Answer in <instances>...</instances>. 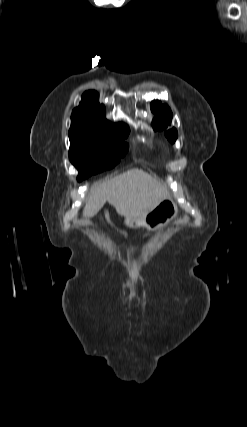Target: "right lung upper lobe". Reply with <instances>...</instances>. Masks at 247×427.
Segmentation results:
<instances>
[{
    "label": "right lung upper lobe",
    "mask_w": 247,
    "mask_h": 427,
    "mask_svg": "<svg viewBox=\"0 0 247 427\" xmlns=\"http://www.w3.org/2000/svg\"><path fill=\"white\" fill-rule=\"evenodd\" d=\"M71 123L103 129L127 127L123 123L111 124L105 119V107L99 103V96L95 91H88L82 95V101L72 112Z\"/></svg>",
    "instance_id": "right-lung-upper-lobe-1"
}]
</instances>
